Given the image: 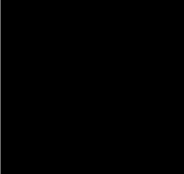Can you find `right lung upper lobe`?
<instances>
[{"label":"right lung upper lobe","mask_w":184,"mask_h":174,"mask_svg":"<svg viewBox=\"0 0 184 174\" xmlns=\"http://www.w3.org/2000/svg\"><path fill=\"white\" fill-rule=\"evenodd\" d=\"M67 65L60 59L45 62L29 89L25 117L33 129H47L74 116L72 90L66 80Z\"/></svg>","instance_id":"right-lung-upper-lobe-1"}]
</instances>
